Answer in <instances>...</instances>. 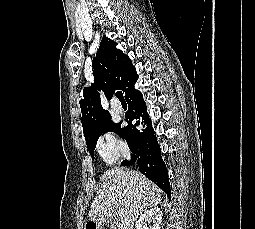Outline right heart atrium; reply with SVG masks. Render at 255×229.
<instances>
[{
    "mask_svg": "<svg viewBox=\"0 0 255 229\" xmlns=\"http://www.w3.org/2000/svg\"><path fill=\"white\" fill-rule=\"evenodd\" d=\"M96 150L107 165L116 163L120 157L128 153L127 145L110 132H105L97 140Z\"/></svg>",
    "mask_w": 255,
    "mask_h": 229,
    "instance_id": "1",
    "label": "right heart atrium"
}]
</instances>
